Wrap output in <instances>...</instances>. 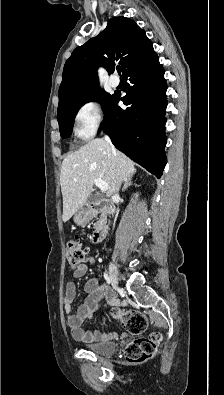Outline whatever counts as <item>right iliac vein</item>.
Listing matches in <instances>:
<instances>
[{
    "label": "right iliac vein",
    "instance_id": "obj_1",
    "mask_svg": "<svg viewBox=\"0 0 224 395\" xmlns=\"http://www.w3.org/2000/svg\"><path fill=\"white\" fill-rule=\"evenodd\" d=\"M109 275L115 288H119L117 268L113 262L109 263Z\"/></svg>",
    "mask_w": 224,
    "mask_h": 395
}]
</instances>
